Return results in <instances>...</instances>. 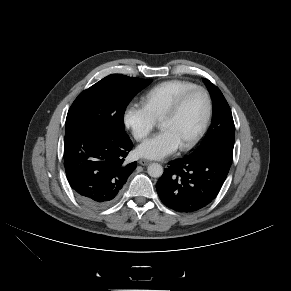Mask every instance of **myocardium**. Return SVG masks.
Instances as JSON below:
<instances>
[{"label": "myocardium", "mask_w": 291, "mask_h": 291, "mask_svg": "<svg viewBox=\"0 0 291 291\" xmlns=\"http://www.w3.org/2000/svg\"><path fill=\"white\" fill-rule=\"evenodd\" d=\"M195 92H201L204 95L206 99V112L202 124L199 127L198 131L195 133V135L187 143L180 146V149L182 151L192 149L202 138L209 126L213 114V101L209 91L202 86H194L184 91L174 100V102L164 112L160 119L161 122L162 120L174 117L179 112L185 101Z\"/></svg>", "instance_id": "f54148a6"}]
</instances>
